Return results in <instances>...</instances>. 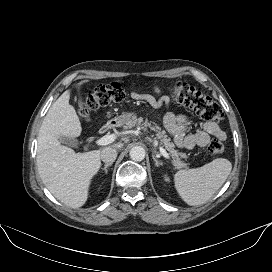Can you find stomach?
Returning a JSON list of instances; mask_svg holds the SVG:
<instances>
[{
    "instance_id": "1",
    "label": "stomach",
    "mask_w": 272,
    "mask_h": 272,
    "mask_svg": "<svg viewBox=\"0 0 272 272\" xmlns=\"http://www.w3.org/2000/svg\"><path fill=\"white\" fill-rule=\"evenodd\" d=\"M133 116H135L134 113H124V114L112 119L110 124L112 126H116V127L121 126V125L125 124Z\"/></svg>"
}]
</instances>
